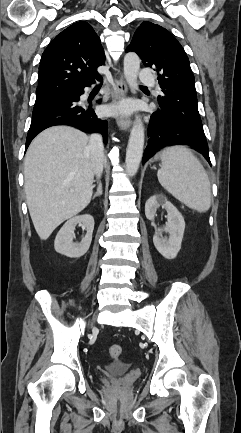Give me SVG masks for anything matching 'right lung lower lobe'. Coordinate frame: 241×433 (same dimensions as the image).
<instances>
[{
  "mask_svg": "<svg viewBox=\"0 0 241 433\" xmlns=\"http://www.w3.org/2000/svg\"><path fill=\"white\" fill-rule=\"evenodd\" d=\"M68 93L69 97L64 101L33 114L26 139V149L37 134L55 125H69L90 133L100 132L104 142H107V121L98 118L91 106L78 104L80 95L84 93V87L72 88Z\"/></svg>",
  "mask_w": 241,
  "mask_h": 433,
  "instance_id": "98d812e1",
  "label": "right lung lower lobe"
}]
</instances>
